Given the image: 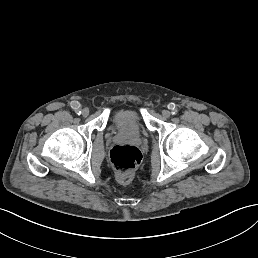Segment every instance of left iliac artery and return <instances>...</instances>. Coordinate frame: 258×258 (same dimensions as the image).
<instances>
[{"label": "left iliac artery", "mask_w": 258, "mask_h": 258, "mask_svg": "<svg viewBox=\"0 0 258 258\" xmlns=\"http://www.w3.org/2000/svg\"><path fill=\"white\" fill-rule=\"evenodd\" d=\"M177 113H178V110H177V109H174V110L171 112L172 115H176Z\"/></svg>", "instance_id": "44dca946"}]
</instances>
